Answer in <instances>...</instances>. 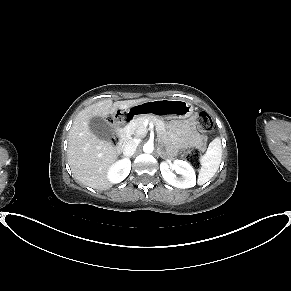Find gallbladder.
<instances>
[{
    "instance_id": "1",
    "label": "gallbladder",
    "mask_w": 291,
    "mask_h": 291,
    "mask_svg": "<svg viewBox=\"0 0 291 291\" xmlns=\"http://www.w3.org/2000/svg\"><path fill=\"white\" fill-rule=\"evenodd\" d=\"M90 131L99 139L110 141L113 135L111 125L102 117H92L89 121Z\"/></svg>"
}]
</instances>
